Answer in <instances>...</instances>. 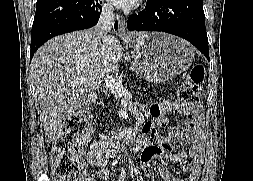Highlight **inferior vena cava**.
Here are the masks:
<instances>
[{
    "instance_id": "1",
    "label": "inferior vena cava",
    "mask_w": 253,
    "mask_h": 181,
    "mask_svg": "<svg viewBox=\"0 0 253 181\" xmlns=\"http://www.w3.org/2000/svg\"><path fill=\"white\" fill-rule=\"evenodd\" d=\"M113 11V6L109 3H105L102 6L100 18L95 27L96 32L99 34L103 43H105L106 45L110 44L111 40L108 33L111 31L115 22Z\"/></svg>"
}]
</instances>
